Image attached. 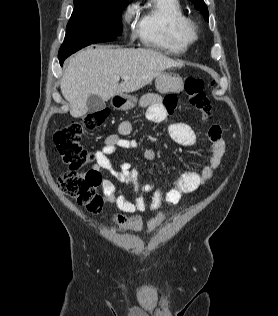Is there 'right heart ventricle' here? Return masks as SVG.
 I'll use <instances>...</instances> for the list:
<instances>
[{"mask_svg":"<svg viewBox=\"0 0 278 316\" xmlns=\"http://www.w3.org/2000/svg\"><path fill=\"white\" fill-rule=\"evenodd\" d=\"M187 20L180 0H147L138 12L135 33L146 47L182 55L192 43L185 30Z\"/></svg>","mask_w":278,"mask_h":316,"instance_id":"obj_1","label":"right heart ventricle"}]
</instances>
